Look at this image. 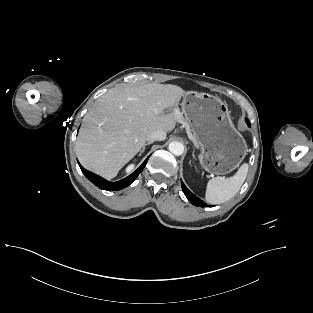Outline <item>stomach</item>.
I'll use <instances>...</instances> for the list:
<instances>
[{"instance_id":"1","label":"stomach","mask_w":313,"mask_h":313,"mask_svg":"<svg viewBox=\"0 0 313 313\" xmlns=\"http://www.w3.org/2000/svg\"><path fill=\"white\" fill-rule=\"evenodd\" d=\"M181 108L195 145L201 149V166L216 175L237 168L247 154V144L236 130L227 105L213 95L190 91L183 95Z\"/></svg>"}]
</instances>
